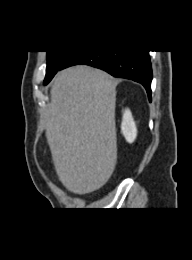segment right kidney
<instances>
[{
    "instance_id": "right-kidney-1",
    "label": "right kidney",
    "mask_w": 192,
    "mask_h": 260,
    "mask_svg": "<svg viewBox=\"0 0 192 260\" xmlns=\"http://www.w3.org/2000/svg\"><path fill=\"white\" fill-rule=\"evenodd\" d=\"M121 130L126 141L133 143L137 136V128L129 109H126L123 113Z\"/></svg>"
}]
</instances>
